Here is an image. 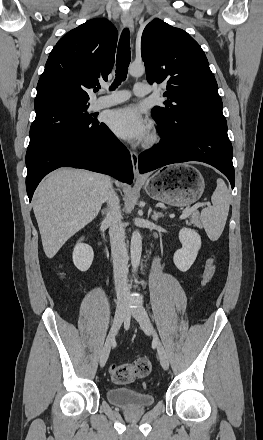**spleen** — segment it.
I'll list each match as a JSON object with an SVG mask.
<instances>
[{"instance_id": "obj_1", "label": "spleen", "mask_w": 263, "mask_h": 440, "mask_svg": "<svg viewBox=\"0 0 263 440\" xmlns=\"http://www.w3.org/2000/svg\"><path fill=\"white\" fill-rule=\"evenodd\" d=\"M211 201L212 207L202 209L201 219L209 239L216 241L224 230L230 205V193L222 179H217Z\"/></svg>"}]
</instances>
